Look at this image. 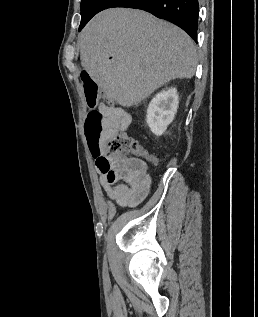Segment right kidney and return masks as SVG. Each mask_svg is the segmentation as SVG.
<instances>
[{
    "label": "right kidney",
    "mask_w": 258,
    "mask_h": 317,
    "mask_svg": "<svg viewBox=\"0 0 258 317\" xmlns=\"http://www.w3.org/2000/svg\"><path fill=\"white\" fill-rule=\"evenodd\" d=\"M179 96L176 88H168L157 92L147 108L146 122L150 130L160 136L165 132L168 124L174 120L178 108Z\"/></svg>",
    "instance_id": "1"
}]
</instances>
